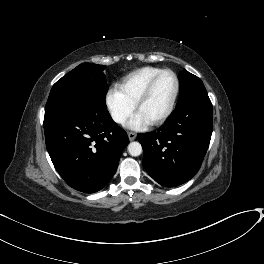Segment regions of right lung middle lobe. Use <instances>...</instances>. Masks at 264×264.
<instances>
[{
	"instance_id": "right-lung-middle-lobe-1",
	"label": "right lung middle lobe",
	"mask_w": 264,
	"mask_h": 264,
	"mask_svg": "<svg viewBox=\"0 0 264 264\" xmlns=\"http://www.w3.org/2000/svg\"><path fill=\"white\" fill-rule=\"evenodd\" d=\"M106 66L82 63L59 79L49 94L45 114L58 112L84 102L105 104L108 91Z\"/></svg>"
}]
</instances>
